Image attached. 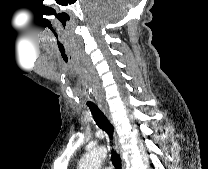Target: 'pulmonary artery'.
<instances>
[{"label":"pulmonary artery","mask_w":208,"mask_h":169,"mask_svg":"<svg viewBox=\"0 0 208 169\" xmlns=\"http://www.w3.org/2000/svg\"><path fill=\"white\" fill-rule=\"evenodd\" d=\"M101 169H112L111 167L103 166Z\"/></svg>","instance_id":"e3ab8cb5"}]
</instances>
